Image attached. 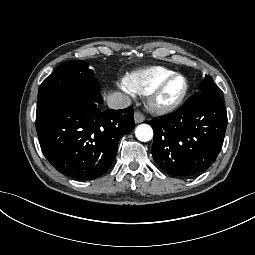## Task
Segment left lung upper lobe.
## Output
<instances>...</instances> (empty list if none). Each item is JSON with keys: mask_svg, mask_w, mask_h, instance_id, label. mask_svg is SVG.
Here are the masks:
<instances>
[{"mask_svg": "<svg viewBox=\"0 0 255 255\" xmlns=\"http://www.w3.org/2000/svg\"><path fill=\"white\" fill-rule=\"evenodd\" d=\"M199 87L202 93H212L219 96V91L217 90L213 79L209 75L205 76L203 81L200 82Z\"/></svg>", "mask_w": 255, "mask_h": 255, "instance_id": "5c2ea615", "label": "left lung upper lobe"}]
</instances>
